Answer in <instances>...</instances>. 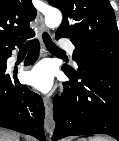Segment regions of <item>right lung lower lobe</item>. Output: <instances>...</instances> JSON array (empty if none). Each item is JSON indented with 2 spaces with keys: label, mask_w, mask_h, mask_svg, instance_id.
<instances>
[{
  "label": "right lung lower lobe",
  "mask_w": 119,
  "mask_h": 141,
  "mask_svg": "<svg viewBox=\"0 0 119 141\" xmlns=\"http://www.w3.org/2000/svg\"><path fill=\"white\" fill-rule=\"evenodd\" d=\"M33 36V35H32ZM40 45L36 41L26 58V65L32 64L39 55ZM12 50L0 56L5 62ZM45 109L41 96L24 87L16 75L6 73V66L0 67V127L9 128L45 140Z\"/></svg>",
  "instance_id": "98d812e1"
}]
</instances>
